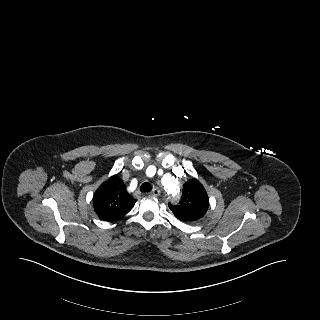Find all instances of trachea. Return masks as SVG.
<instances>
[{"instance_id":"3493384b","label":"trachea","mask_w":320,"mask_h":320,"mask_svg":"<svg viewBox=\"0 0 320 320\" xmlns=\"http://www.w3.org/2000/svg\"><path fill=\"white\" fill-rule=\"evenodd\" d=\"M150 190H151V184L148 182L143 183L140 187L141 192H149Z\"/></svg>"}]
</instances>
